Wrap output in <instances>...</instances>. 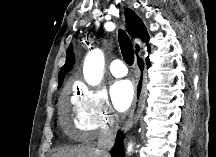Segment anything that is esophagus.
I'll return each mask as SVG.
<instances>
[{
	"instance_id": "34e87169",
	"label": "esophagus",
	"mask_w": 216,
	"mask_h": 157,
	"mask_svg": "<svg viewBox=\"0 0 216 157\" xmlns=\"http://www.w3.org/2000/svg\"><path fill=\"white\" fill-rule=\"evenodd\" d=\"M135 50H136V65L138 69L139 76L144 75L145 72V66L144 63H142V57H141V49L137 42H135ZM144 104V85L141 82H138L135 90V96H134V102L132 105L131 112L129 114V117L123 127V131H127L135 122V120L138 118V115L143 107Z\"/></svg>"
}]
</instances>
